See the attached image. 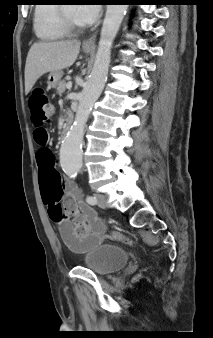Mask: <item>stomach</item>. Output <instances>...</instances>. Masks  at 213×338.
Instances as JSON below:
<instances>
[{"mask_svg": "<svg viewBox=\"0 0 213 338\" xmlns=\"http://www.w3.org/2000/svg\"><path fill=\"white\" fill-rule=\"evenodd\" d=\"M83 51L85 53H90L91 49L83 48ZM62 75H63V71L61 70L50 72V74L48 75V81H47L48 87L55 88L60 82Z\"/></svg>", "mask_w": 213, "mask_h": 338, "instance_id": "obj_1", "label": "stomach"}]
</instances>
